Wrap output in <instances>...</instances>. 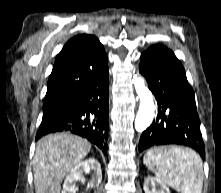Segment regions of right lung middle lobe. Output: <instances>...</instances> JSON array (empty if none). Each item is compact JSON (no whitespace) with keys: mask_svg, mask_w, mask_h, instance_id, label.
Listing matches in <instances>:
<instances>
[{"mask_svg":"<svg viewBox=\"0 0 221 193\" xmlns=\"http://www.w3.org/2000/svg\"><path fill=\"white\" fill-rule=\"evenodd\" d=\"M69 107L70 99L44 102L42 123L62 115L68 111Z\"/></svg>","mask_w":221,"mask_h":193,"instance_id":"obj_1","label":"right lung middle lobe"}]
</instances>
